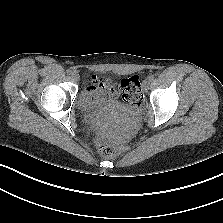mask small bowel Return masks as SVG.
Segmentation results:
<instances>
[{
    "instance_id": "obj_1",
    "label": "small bowel",
    "mask_w": 223,
    "mask_h": 223,
    "mask_svg": "<svg viewBox=\"0 0 223 223\" xmlns=\"http://www.w3.org/2000/svg\"><path fill=\"white\" fill-rule=\"evenodd\" d=\"M93 86L90 87L93 91H99L106 97L115 98L120 94V87L111 84L109 79H97L93 78Z\"/></svg>"
}]
</instances>
